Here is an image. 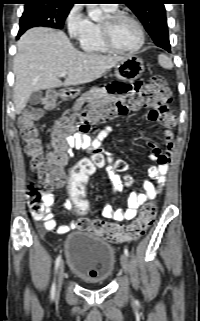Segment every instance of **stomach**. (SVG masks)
I'll list each match as a JSON object with an SVG mask.
<instances>
[{
    "label": "stomach",
    "mask_w": 200,
    "mask_h": 321,
    "mask_svg": "<svg viewBox=\"0 0 200 321\" xmlns=\"http://www.w3.org/2000/svg\"><path fill=\"white\" fill-rule=\"evenodd\" d=\"M144 71L143 60L137 56L124 57L115 66V76L118 80L131 81L138 79ZM80 93L78 88H66L62 91L61 96L66 99L76 98Z\"/></svg>",
    "instance_id": "stomach-1"
}]
</instances>
